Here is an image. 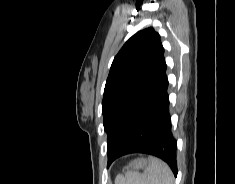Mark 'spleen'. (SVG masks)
Listing matches in <instances>:
<instances>
[{"instance_id": "3e777b00", "label": "spleen", "mask_w": 235, "mask_h": 184, "mask_svg": "<svg viewBox=\"0 0 235 184\" xmlns=\"http://www.w3.org/2000/svg\"><path fill=\"white\" fill-rule=\"evenodd\" d=\"M115 184H174V176L165 162L159 158H150L144 174L126 172L124 176H117Z\"/></svg>"}]
</instances>
